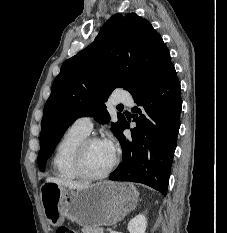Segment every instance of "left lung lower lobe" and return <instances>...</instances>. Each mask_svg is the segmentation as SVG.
<instances>
[{"label": "left lung lower lobe", "mask_w": 227, "mask_h": 233, "mask_svg": "<svg viewBox=\"0 0 227 233\" xmlns=\"http://www.w3.org/2000/svg\"><path fill=\"white\" fill-rule=\"evenodd\" d=\"M180 90L172 65L153 86L133 96L139 106L133 108L136 127L131 129V138H126L123 130L129 123L125 121L117 137L123 161L110 180L143 183L166 195L180 127Z\"/></svg>", "instance_id": "left-lung-lower-lobe-1"}]
</instances>
